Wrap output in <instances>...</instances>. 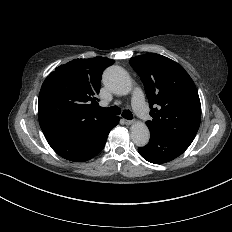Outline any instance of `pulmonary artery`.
Returning <instances> with one entry per match:
<instances>
[{
	"label": "pulmonary artery",
	"mask_w": 232,
	"mask_h": 232,
	"mask_svg": "<svg viewBox=\"0 0 232 232\" xmlns=\"http://www.w3.org/2000/svg\"><path fill=\"white\" fill-rule=\"evenodd\" d=\"M134 103H133V107L137 113L138 116L145 118L148 116L149 111L147 108H145L144 106V100H145V96L143 93L138 92L135 94L134 96Z\"/></svg>",
	"instance_id": "e3ab8cb5"
}]
</instances>
